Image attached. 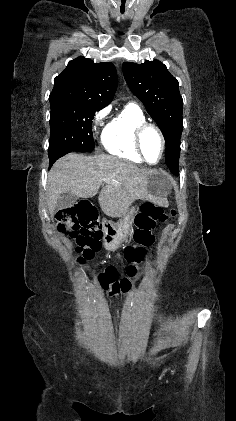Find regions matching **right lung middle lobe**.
Segmentation results:
<instances>
[{
	"label": "right lung middle lobe",
	"instance_id": "1",
	"mask_svg": "<svg viewBox=\"0 0 236 421\" xmlns=\"http://www.w3.org/2000/svg\"><path fill=\"white\" fill-rule=\"evenodd\" d=\"M50 106L49 159L56 161L72 151H93L92 120L105 106L61 97H50Z\"/></svg>",
	"mask_w": 236,
	"mask_h": 421
}]
</instances>
